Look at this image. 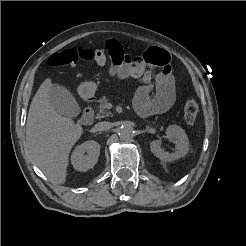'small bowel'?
Segmentation results:
<instances>
[{"mask_svg":"<svg viewBox=\"0 0 246 246\" xmlns=\"http://www.w3.org/2000/svg\"><path fill=\"white\" fill-rule=\"evenodd\" d=\"M106 48H118L122 53L120 59L113 58L111 61L109 74L118 79L133 78L140 83L133 101L134 109L140 116L161 114L172 107L176 96L175 78L168 52L154 47L132 59L116 40L107 41ZM157 67H162V71L156 73Z\"/></svg>","mask_w":246,"mask_h":246,"instance_id":"c3829d8e","label":"small bowel"}]
</instances>
